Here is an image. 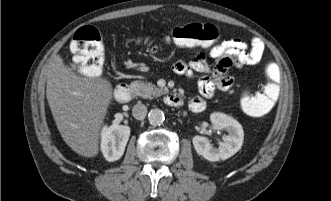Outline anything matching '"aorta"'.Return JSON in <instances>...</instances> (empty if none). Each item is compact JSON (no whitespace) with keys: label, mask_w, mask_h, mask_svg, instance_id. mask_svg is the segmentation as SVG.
Masks as SVG:
<instances>
[{"label":"aorta","mask_w":331,"mask_h":201,"mask_svg":"<svg viewBox=\"0 0 331 201\" xmlns=\"http://www.w3.org/2000/svg\"><path fill=\"white\" fill-rule=\"evenodd\" d=\"M148 120L152 125H160L165 120L164 112L158 108L151 109L148 113Z\"/></svg>","instance_id":"obj_1"}]
</instances>
